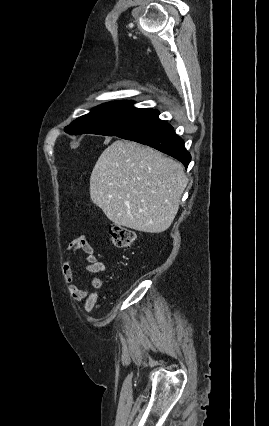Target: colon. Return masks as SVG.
<instances>
[{"label": "colon", "instance_id": "obj_1", "mask_svg": "<svg viewBox=\"0 0 269 426\" xmlns=\"http://www.w3.org/2000/svg\"><path fill=\"white\" fill-rule=\"evenodd\" d=\"M110 240L115 247L128 249L131 248L136 241V234L133 230L121 226L113 225L109 229ZM100 279L96 278L94 281L99 282Z\"/></svg>", "mask_w": 269, "mask_h": 426}]
</instances>
